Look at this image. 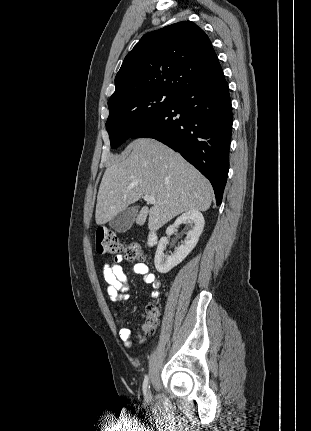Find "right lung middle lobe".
I'll list each match as a JSON object with an SVG mask.
<instances>
[{
  "label": "right lung middle lobe",
  "mask_w": 311,
  "mask_h": 431,
  "mask_svg": "<svg viewBox=\"0 0 311 431\" xmlns=\"http://www.w3.org/2000/svg\"><path fill=\"white\" fill-rule=\"evenodd\" d=\"M179 94L145 90L109 99L106 129L111 147L117 148L146 123L168 108Z\"/></svg>",
  "instance_id": "dd1d6c3e"
}]
</instances>
